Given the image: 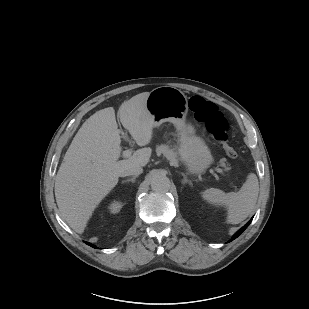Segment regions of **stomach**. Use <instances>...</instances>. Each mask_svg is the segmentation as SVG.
<instances>
[{
    "mask_svg": "<svg viewBox=\"0 0 309 309\" xmlns=\"http://www.w3.org/2000/svg\"><path fill=\"white\" fill-rule=\"evenodd\" d=\"M146 110L155 127L173 123L178 131L179 155L191 173H202L212 162V155L204 141L189 132L186 126L188 102L185 94L170 86L153 89L146 100Z\"/></svg>",
    "mask_w": 309,
    "mask_h": 309,
    "instance_id": "obj_1",
    "label": "stomach"
}]
</instances>
